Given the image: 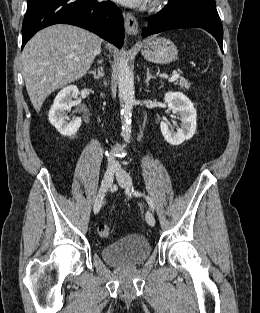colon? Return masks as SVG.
Segmentation results:
<instances>
[{
	"instance_id": "1",
	"label": "colon",
	"mask_w": 260,
	"mask_h": 313,
	"mask_svg": "<svg viewBox=\"0 0 260 313\" xmlns=\"http://www.w3.org/2000/svg\"><path fill=\"white\" fill-rule=\"evenodd\" d=\"M98 234L102 239L105 240H111L113 238L111 228L105 224H101L98 226Z\"/></svg>"
}]
</instances>
